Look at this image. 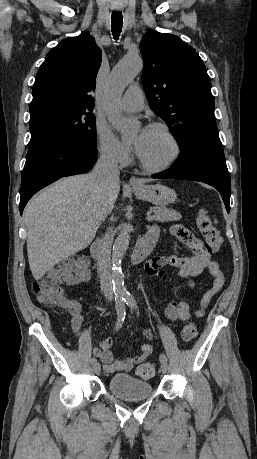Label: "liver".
<instances>
[{
  "label": "liver",
  "mask_w": 257,
  "mask_h": 459,
  "mask_svg": "<svg viewBox=\"0 0 257 459\" xmlns=\"http://www.w3.org/2000/svg\"><path fill=\"white\" fill-rule=\"evenodd\" d=\"M119 191V182L110 191L101 190L89 173L63 178L27 204L23 217L35 280L92 242L100 215L112 212Z\"/></svg>",
  "instance_id": "1"
}]
</instances>
